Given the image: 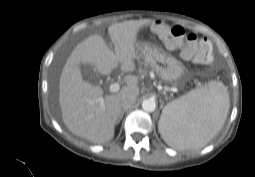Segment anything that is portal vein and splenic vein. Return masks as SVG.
Masks as SVG:
<instances>
[{
	"mask_svg": "<svg viewBox=\"0 0 255 177\" xmlns=\"http://www.w3.org/2000/svg\"><path fill=\"white\" fill-rule=\"evenodd\" d=\"M119 89H120V85H119L118 83H115V82H114V83H111L110 86H109V90H110V92H112V93L118 92ZM99 101H100L101 103H103V99H102V98H100Z\"/></svg>",
	"mask_w": 255,
	"mask_h": 177,
	"instance_id": "18ae733b",
	"label": "portal vein and splenic vein"
}]
</instances>
